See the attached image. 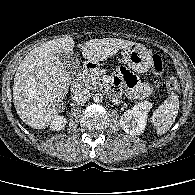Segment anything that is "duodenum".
Wrapping results in <instances>:
<instances>
[{
  "instance_id": "obj_1",
  "label": "duodenum",
  "mask_w": 195,
  "mask_h": 195,
  "mask_svg": "<svg viewBox=\"0 0 195 195\" xmlns=\"http://www.w3.org/2000/svg\"><path fill=\"white\" fill-rule=\"evenodd\" d=\"M95 68H96V66L92 63H88L82 68V70L80 71V73L78 75L77 80L72 84V90L74 92H77L81 89V80H82L83 76L85 74H87L88 72L94 70Z\"/></svg>"
}]
</instances>
